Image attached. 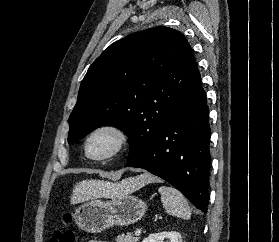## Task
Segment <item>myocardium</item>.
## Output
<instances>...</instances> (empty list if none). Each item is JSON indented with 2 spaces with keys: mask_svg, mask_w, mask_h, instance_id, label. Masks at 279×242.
<instances>
[{
  "mask_svg": "<svg viewBox=\"0 0 279 242\" xmlns=\"http://www.w3.org/2000/svg\"><path fill=\"white\" fill-rule=\"evenodd\" d=\"M101 133H110L115 139L113 148L102 156H92L89 152V145L91 140ZM129 143V135L127 131L115 123H102L94 127L87 135L84 143V152L88 159L96 162L110 160L121 154Z\"/></svg>",
  "mask_w": 279,
  "mask_h": 242,
  "instance_id": "myocardium-1",
  "label": "myocardium"
}]
</instances>
